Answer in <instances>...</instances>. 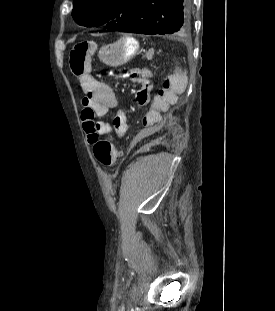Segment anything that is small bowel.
Segmentation results:
<instances>
[{"mask_svg":"<svg viewBox=\"0 0 275 311\" xmlns=\"http://www.w3.org/2000/svg\"><path fill=\"white\" fill-rule=\"evenodd\" d=\"M174 61L173 57L169 58ZM161 80L156 81L158 91L152 79V70L144 66L143 69H131L130 79L138 82L140 91H136L135 102L138 108H144L142 112L143 129H152L157 122H161V116L165 112H172V108L177 107L180 98H186L190 80L187 74L182 73L181 69L170 66L167 74H161ZM81 85L85 89L87 96L82 100L80 119L83 122V129L88 141L92 143V136L101 134H116L121 138L128 130L127 117L125 112L120 109V103L115 96L111 86L91 75H86L81 80ZM115 110L112 122L95 121V117H103L109 111Z\"/></svg>","mask_w":275,"mask_h":311,"instance_id":"obj_1","label":"small bowel"}]
</instances>
